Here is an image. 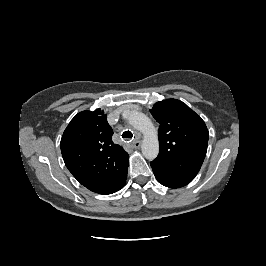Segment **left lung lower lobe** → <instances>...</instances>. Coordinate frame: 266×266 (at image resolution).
Returning a JSON list of instances; mask_svg holds the SVG:
<instances>
[{
  "label": "left lung lower lobe",
  "instance_id": "left-lung-lower-lobe-1",
  "mask_svg": "<svg viewBox=\"0 0 266 266\" xmlns=\"http://www.w3.org/2000/svg\"><path fill=\"white\" fill-rule=\"evenodd\" d=\"M159 183H161L162 185L166 186V187H170V188H179L181 186H177V185H174V184H171V183H167V182H164L162 180H158Z\"/></svg>",
  "mask_w": 266,
  "mask_h": 266
}]
</instances>
